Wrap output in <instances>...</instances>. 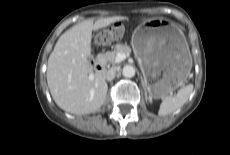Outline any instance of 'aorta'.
I'll return each instance as SVG.
<instances>
[{
  "label": "aorta",
  "mask_w": 230,
  "mask_h": 155,
  "mask_svg": "<svg viewBox=\"0 0 230 155\" xmlns=\"http://www.w3.org/2000/svg\"><path fill=\"white\" fill-rule=\"evenodd\" d=\"M122 74L126 78H132L135 75V68L131 65H125L123 67Z\"/></svg>",
  "instance_id": "aorta-1"
}]
</instances>
